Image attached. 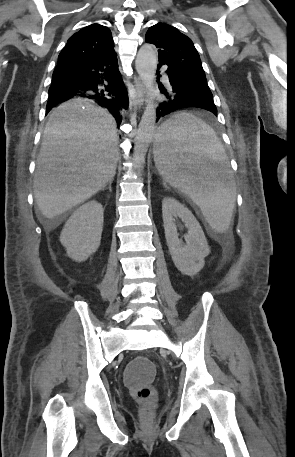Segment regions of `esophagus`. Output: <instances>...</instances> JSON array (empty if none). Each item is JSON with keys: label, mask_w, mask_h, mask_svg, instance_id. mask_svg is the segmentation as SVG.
I'll return each instance as SVG.
<instances>
[{"label": "esophagus", "mask_w": 295, "mask_h": 457, "mask_svg": "<svg viewBox=\"0 0 295 457\" xmlns=\"http://www.w3.org/2000/svg\"><path fill=\"white\" fill-rule=\"evenodd\" d=\"M135 100L130 99V104L135 102L138 106H142L144 102V87L139 79H135Z\"/></svg>", "instance_id": "obj_1"}]
</instances>
